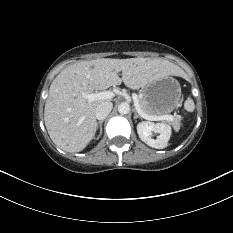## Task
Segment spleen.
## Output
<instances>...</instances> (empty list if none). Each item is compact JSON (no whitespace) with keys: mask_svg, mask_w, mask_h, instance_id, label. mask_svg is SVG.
<instances>
[{"mask_svg":"<svg viewBox=\"0 0 233 233\" xmlns=\"http://www.w3.org/2000/svg\"><path fill=\"white\" fill-rule=\"evenodd\" d=\"M184 106H185V109H186L188 112H193L194 109H195V104H194V102H193L192 99H187V100L185 101Z\"/></svg>","mask_w":233,"mask_h":233,"instance_id":"1","label":"spleen"}]
</instances>
